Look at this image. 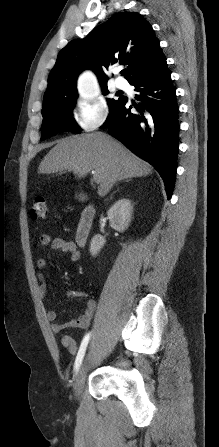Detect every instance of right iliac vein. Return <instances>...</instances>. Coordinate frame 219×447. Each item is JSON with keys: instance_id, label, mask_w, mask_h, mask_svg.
Listing matches in <instances>:
<instances>
[{"instance_id": "right-iliac-vein-1", "label": "right iliac vein", "mask_w": 219, "mask_h": 447, "mask_svg": "<svg viewBox=\"0 0 219 447\" xmlns=\"http://www.w3.org/2000/svg\"><path fill=\"white\" fill-rule=\"evenodd\" d=\"M86 373H87V361L84 360L81 363V365L77 371L76 378H75L74 396L77 400L80 398L82 387H83V385L85 383V379H86Z\"/></svg>"}]
</instances>
